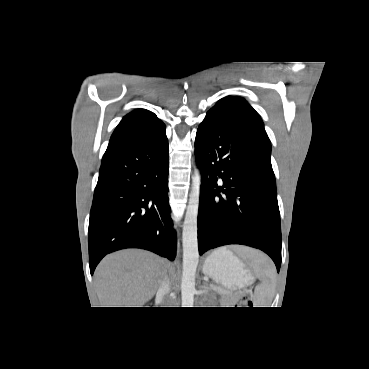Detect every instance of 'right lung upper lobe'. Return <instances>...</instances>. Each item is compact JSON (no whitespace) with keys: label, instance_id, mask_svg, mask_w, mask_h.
Masks as SVG:
<instances>
[{"label":"right lung upper lobe","instance_id":"cb5924a9","mask_svg":"<svg viewBox=\"0 0 369 369\" xmlns=\"http://www.w3.org/2000/svg\"><path fill=\"white\" fill-rule=\"evenodd\" d=\"M164 123L151 111L139 109L126 115L113 132L107 150L155 135Z\"/></svg>","mask_w":369,"mask_h":369}]
</instances>
